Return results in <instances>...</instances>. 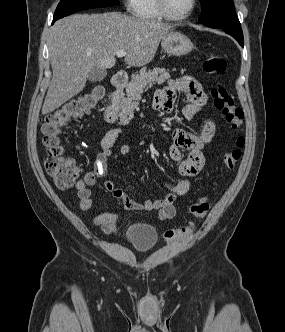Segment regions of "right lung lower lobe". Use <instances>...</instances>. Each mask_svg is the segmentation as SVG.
<instances>
[{
  "mask_svg": "<svg viewBox=\"0 0 285 332\" xmlns=\"http://www.w3.org/2000/svg\"><path fill=\"white\" fill-rule=\"evenodd\" d=\"M56 20H57V18H53V22H52V24H53Z\"/></svg>",
  "mask_w": 285,
  "mask_h": 332,
  "instance_id": "98d812e1",
  "label": "right lung lower lobe"
}]
</instances>
